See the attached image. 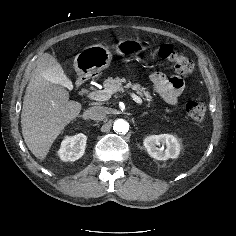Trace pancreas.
<instances>
[{"label":"pancreas","instance_id":"cf45deb5","mask_svg":"<svg viewBox=\"0 0 236 236\" xmlns=\"http://www.w3.org/2000/svg\"><path fill=\"white\" fill-rule=\"evenodd\" d=\"M129 89L136 91V93L142 97L149 103L152 102L151 93L146 89V87L142 86L139 83H132L130 80L126 78H112L109 77L104 81V92L106 94H113L118 91H123V89Z\"/></svg>","mask_w":236,"mask_h":236}]
</instances>
